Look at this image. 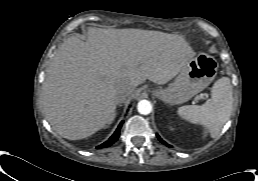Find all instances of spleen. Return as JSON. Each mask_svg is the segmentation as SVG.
<instances>
[{
    "instance_id": "1",
    "label": "spleen",
    "mask_w": 258,
    "mask_h": 181,
    "mask_svg": "<svg viewBox=\"0 0 258 181\" xmlns=\"http://www.w3.org/2000/svg\"><path fill=\"white\" fill-rule=\"evenodd\" d=\"M232 107V85L228 77H222L214 83L211 99L201 106H182L178 109V115L192 124L204 126L210 136L215 138L228 121Z\"/></svg>"
}]
</instances>
